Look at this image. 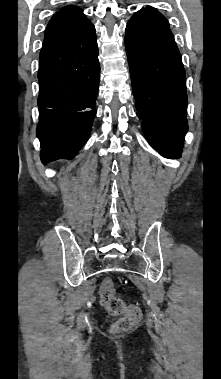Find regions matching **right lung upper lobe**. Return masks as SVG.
Wrapping results in <instances>:
<instances>
[{"mask_svg": "<svg viewBox=\"0 0 221 379\" xmlns=\"http://www.w3.org/2000/svg\"><path fill=\"white\" fill-rule=\"evenodd\" d=\"M89 20L77 6L69 5L56 12L49 21L43 46L65 39L81 30Z\"/></svg>", "mask_w": 221, "mask_h": 379, "instance_id": "obj_1", "label": "right lung upper lobe"}]
</instances>
